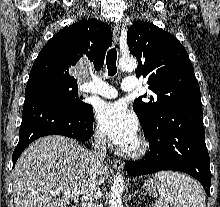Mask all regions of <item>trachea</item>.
<instances>
[{
  "mask_svg": "<svg viewBox=\"0 0 220 207\" xmlns=\"http://www.w3.org/2000/svg\"><path fill=\"white\" fill-rule=\"evenodd\" d=\"M116 61H117V50L115 48H111L107 52V56H106V65L108 68L109 76H113L117 73Z\"/></svg>",
  "mask_w": 220,
  "mask_h": 207,
  "instance_id": "trachea-1",
  "label": "trachea"
}]
</instances>
